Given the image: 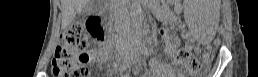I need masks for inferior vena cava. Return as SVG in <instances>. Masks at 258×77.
Masks as SVG:
<instances>
[{"mask_svg": "<svg viewBox=\"0 0 258 77\" xmlns=\"http://www.w3.org/2000/svg\"><path fill=\"white\" fill-rule=\"evenodd\" d=\"M125 0H116L114 15L118 24H122L129 19V13L125 5Z\"/></svg>", "mask_w": 258, "mask_h": 77, "instance_id": "602c4592", "label": "inferior vena cava"}]
</instances>
